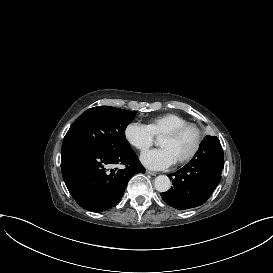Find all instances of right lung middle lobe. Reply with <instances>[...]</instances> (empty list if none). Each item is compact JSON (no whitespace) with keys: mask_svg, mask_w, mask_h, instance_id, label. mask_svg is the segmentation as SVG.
<instances>
[{"mask_svg":"<svg viewBox=\"0 0 273 273\" xmlns=\"http://www.w3.org/2000/svg\"><path fill=\"white\" fill-rule=\"evenodd\" d=\"M135 111L110 106L93 107L81 114L72 124L62 143L61 153L80 147L112 152L131 149L125 129L133 120Z\"/></svg>","mask_w":273,"mask_h":273,"instance_id":"right-lung-middle-lobe-1","label":"right lung middle lobe"}]
</instances>
